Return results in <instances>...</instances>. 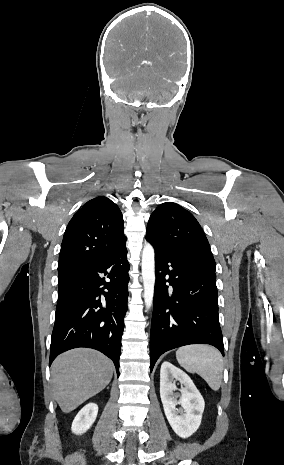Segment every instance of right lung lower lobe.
Here are the masks:
<instances>
[{
	"mask_svg": "<svg viewBox=\"0 0 284 465\" xmlns=\"http://www.w3.org/2000/svg\"><path fill=\"white\" fill-rule=\"evenodd\" d=\"M127 249L58 279V301L49 365L77 347L99 350L113 360L119 376L121 337L127 311Z\"/></svg>",
	"mask_w": 284,
	"mask_h": 465,
	"instance_id": "obj_1",
	"label": "right lung lower lobe"
}]
</instances>
